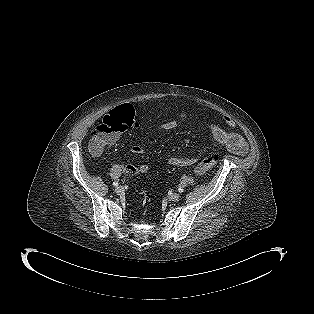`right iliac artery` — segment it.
I'll return each mask as SVG.
<instances>
[{
	"label": "right iliac artery",
	"instance_id": "1",
	"mask_svg": "<svg viewBox=\"0 0 314 314\" xmlns=\"http://www.w3.org/2000/svg\"><path fill=\"white\" fill-rule=\"evenodd\" d=\"M113 186H118V182H113Z\"/></svg>",
	"mask_w": 314,
	"mask_h": 314
}]
</instances>
